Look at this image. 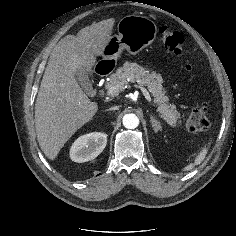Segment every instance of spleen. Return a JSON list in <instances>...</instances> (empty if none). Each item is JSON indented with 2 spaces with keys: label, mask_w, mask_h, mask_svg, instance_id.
Wrapping results in <instances>:
<instances>
[{
  "label": "spleen",
  "mask_w": 236,
  "mask_h": 236,
  "mask_svg": "<svg viewBox=\"0 0 236 236\" xmlns=\"http://www.w3.org/2000/svg\"><path fill=\"white\" fill-rule=\"evenodd\" d=\"M207 151H208V148H207V147L202 148V150H201V151L199 152V154L196 156L195 162L189 164L188 166H186V167L184 168V171L191 170V169L194 168L195 165H198V164L202 163V161H203V160L205 159V157H206Z\"/></svg>",
  "instance_id": "spleen-1"
}]
</instances>
